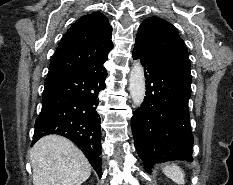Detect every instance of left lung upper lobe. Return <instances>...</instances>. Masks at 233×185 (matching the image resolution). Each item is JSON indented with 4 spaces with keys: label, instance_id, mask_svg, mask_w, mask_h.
<instances>
[{
    "label": "left lung upper lobe",
    "instance_id": "5c2ea615",
    "mask_svg": "<svg viewBox=\"0 0 233 185\" xmlns=\"http://www.w3.org/2000/svg\"><path fill=\"white\" fill-rule=\"evenodd\" d=\"M135 44L156 57L190 67L186 45L177 29L161 18L145 19L138 29Z\"/></svg>",
    "mask_w": 233,
    "mask_h": 185
}]
</instances>
